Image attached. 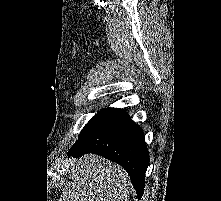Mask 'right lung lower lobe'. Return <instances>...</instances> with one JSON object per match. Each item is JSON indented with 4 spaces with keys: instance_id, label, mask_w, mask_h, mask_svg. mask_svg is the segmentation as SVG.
I'll list each match as a JSON object with an SVG mask.
<instances>
[{
    "instance_id": "obj_1",
    "label": "right lung lower lobe",
    "mask_w": 221,
    "mask_h": 201,
    "mask_svg": "<svg viewBox=\"0 0 221 201\" xmlns=\"http://www.w3.org/2000/svg\"><path fill=\"white\" fill-rule=\"evenodd\" d=\"M86 153L99 154L120 164L129 173L141 198L149 153L142 129L123 110L103 109L85 125L68 154L80 156Z\"/></svg>"
}]
</instances>
